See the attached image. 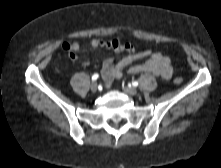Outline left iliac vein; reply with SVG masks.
Masks as SVG:
<instances>
[{
	"mask_svg": "<svg viewBox=\"0 0 221 168\" xmlns=\"http://www.w3.org/2000/svg\"><path fill=\"white\" fill-rule=\"evenodd\" d=\"M123 91L128 95H136L138 93L136 88L129 86L123 87Z\"/></svg>",
	"mask_w": 221,
	"mask_h": 168,
	"instance_id": "4c4485c4",
	"label": "left iliac vein"
}]
</instances>
